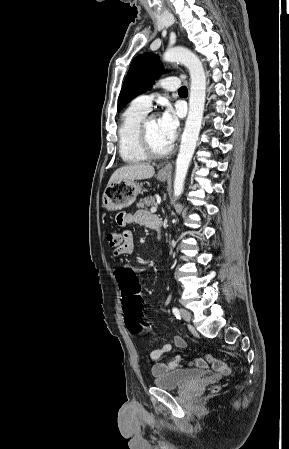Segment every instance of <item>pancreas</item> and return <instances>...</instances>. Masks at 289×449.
Returning <instances> with one entry per match:
<instances>
[{
  "label": "pancreas",
  "mask_w": 289,
  "mask_h": 449,
  "mask_svg": "<svg viewBox=\"0 0 289 449\" xmlns=\"http://www.w3.org/2000/svg\"><path fill=\"white\" fill-rule=\"evenodd\" d=\"M154 204H155L154 198H153V197H148V198H145V199L140 200V201L137 203V206H138L139 208H147V207H149V206H153Z\"/></svg>",
  "instance_id": "cf45deb5"
}]
</instances>
